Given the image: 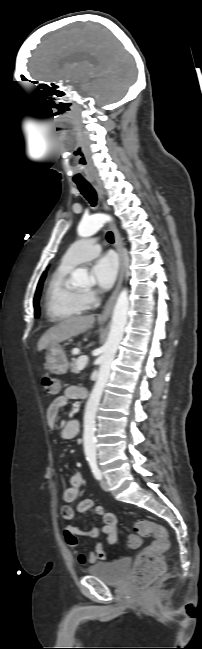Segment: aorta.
<instances>
[{"mask_svg": "<svg viewBox=\"0 0 202 649\" xmlns=\"http://www.w3.org/2000/svg\"><path fill=\"white\" fill-rule=\"evenodd\" d=\"M109 217L105 214H95L83 219L77 228L78 235L90 237L103 227ZM88 280V273L84 269H76L72 273V282L80 284ZM129 310L128 291L123 289L116 301L110 331L99 357L100 367L97 380L88 398L84 413V452L86 455L96 454L95 417L103 390L108 381L111 364L115 358L119 344L123 338Z\"/></svg>", "mask_w": 202, "mask_h": 649, "instance_id": "aorta-1", "label": "aorta"}]
</instances>
